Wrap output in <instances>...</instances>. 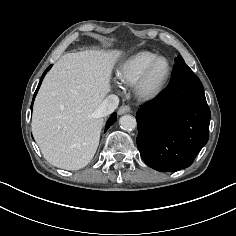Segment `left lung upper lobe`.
<instances>
[{"instance_id": "5c2ea615", "label": "left lung upper lobe", "mask_w": 236, "mask_h": 236, "mask_svg": "<svg viewBox=\"0 0 236 236\" xmlns=\"http://www.w3.org/2000/svg\"><path fill=\"white\" fill-rule=\"evenodd\" d=\"M181 61H184L181 56H178L177 58H175L176 63L181 62Z\"/></svg>"}]
</instances>
